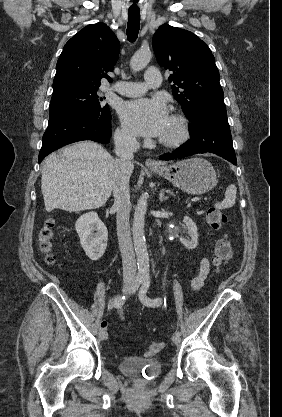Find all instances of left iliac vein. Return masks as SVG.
Segmentation results:
<instances>
[{"instance_id": "left-iliac-vein-1", "label": "left iliac vein", "mask_w": 282, "mask_h": 417, "mask_svg": "<svg viewBox=\"0 0 282 417\" xmlns=\"http://www.w3.org/2000/svg\"><path fill=\"white\" fill-rule=\"evenodd\" d=\"M172 341H173V343H175L176 345H178V344H180V342H181V338H180V336H179V335L174 334V335L172 336Z\"/></svg>"}]
</instances>
